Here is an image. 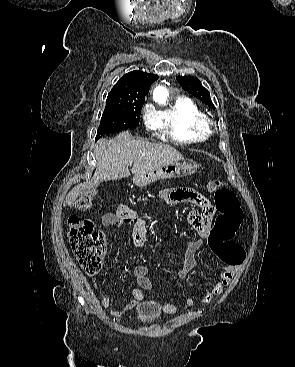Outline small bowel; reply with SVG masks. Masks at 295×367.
Masks as SVG:
<instances>
[{
	"label": "small bowel",
	"mask_w": 295,
	"mask_h": 367,
	"mask_svg": "<svg viewBox=\"0 0 295 367\" xmlns=\"http://www.w3.org/2000/svg\"><path fill=\"white\" fill-rule=\"evenodd\" d=\"M162 197L169 203H194L204 208L201 212L200 208H184L182 213L185 215L188 224L195 230L197 236L191 239L184 253V263L178 271V276L181 279L187 278L197 265L196 253L202 245V240L210 236V225L215 214V209L211 203L203 198L197 191L191 188H177L166 190L162 193ZM102 224L104 226H122L132 224L131 245L135 248L143 246L149 224L146 219L137 218L135 211L128 205H121L115 212H108L102 216ZM212 248V247H211ZM213 252L220 259L218 268V280L211 285V290L205 292L198 297H185L183 308H191L196 301L203 305L209 304L215 295L221 294L231 283L234 275L238 271L239 265H231L226 263L212 248ZM133 275L138 287L132 288L133 300L125 304L121 309L114 310L111 315L114 318H119L125 311L132 309L145 299L143 290L152 289V281L148 276V267L144 264L137 265L133 270ZM93 284L98 286V280L94 279ZM111 298L105 296L101 300L103 308L111 306ZM163 311L167 313H176L179 308L171 303L162 305Z\"/></svg>",
	"instance_id": "small-bowel-1"
}]
</instances>
